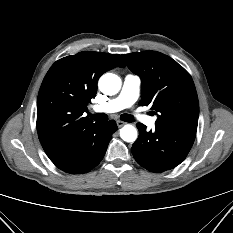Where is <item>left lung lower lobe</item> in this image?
Returning <instances> with one entry per match:
<instances>
[{"instance_id": "left-lung-lower-lobe-1", "label": "left lung lower lobe", "mask_w": 233, "mask_h": 233, "mask_svg": "<svg viewBox=\"0 0 233 233\" xmlns=\"http://www.w3.org/2000/svg\"><path fill=\"white\" fill-rule=\"evenodd\" d=\"M139 137L132 146L135 160L145 169L161 173L179 165L189 153L196 136L195 131L155 126L146 131L138 123Z\"/></svg>"}]
</instances>
